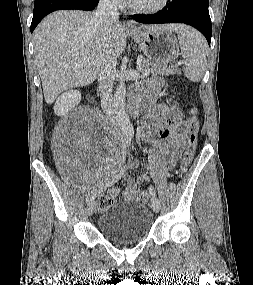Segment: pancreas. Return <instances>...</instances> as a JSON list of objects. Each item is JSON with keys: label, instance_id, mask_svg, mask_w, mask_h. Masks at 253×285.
<instances>
[{"label": "pancreas", "instance_id": "1", "mask_svg": "<svg viewBox=\"0 0 253 285\" xmlns=\"http://www.w3.org/2000/svg\"><path fill=\"white\" fill-rule=\"evenodd\" d=\"M149 69L152 75H180L181 69L178 65L168 66L167 64L153 63L144 61L143 70Z\"/></svg>", "mask_w": 253, "mask_h": 285}]
</instances>
